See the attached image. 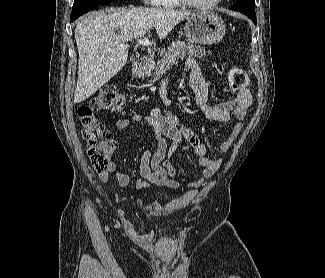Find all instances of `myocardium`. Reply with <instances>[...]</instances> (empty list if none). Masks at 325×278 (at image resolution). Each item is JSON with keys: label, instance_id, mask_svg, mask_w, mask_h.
Instances as JSON below:
<instances>
[{"label": "myocardium", "instance_id": "1", "mask_svg": "<svg viewBox=\"0 0 325 278\" xmlns=\"http://www.w3.org/2000/svg\"><path fill=\"white\" fill-rule=\"evenodd\" d=\"M182 5L199 10H207L217 6L222 0H212L209 3L201 4L193 0H178Z\"/></svg>", "mask_w": 325, "mask_h": 278}]
</instances>
